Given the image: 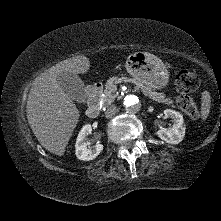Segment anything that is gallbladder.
Segmentation results:
<instances>
[{
	"mask_svg": "<svg viewBox=\"0 0 221 221\" xmlns=\"http://www.w3.org/2000/svg\"><path fill=\"white\" fill-rule=\"evenodd\" d=\"M58 84L70 98L79 103H84L85 85L77 75L65 72L61 73L58 76Z\"/></svg>",
	"mask_w": 221,
	"mask_h": 221,
	"instance_id": "obj_1",
	"label": "gallbladder"
}]
</instances>
